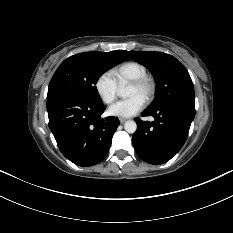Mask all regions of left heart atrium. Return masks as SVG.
Returning a JSON list of instances; mask_svg holds the SVG:
<instances>
[{"label": "left heart atrium", "mask_w": 233, "mask_h": 233, "mask_svg": "<svg viewBox=\"0 0 233 233\" xmlns=\"http://www.w3.org/2000/svg\"><path fill=\"white\" fill-rule=\"evenodd\" d=\"M145 104V100L139 95L130 96L120 100L108 108L110 116L128 118L138 113Z\"/></svg>", "instance_id": "39dd6f15"}]
</instances>
